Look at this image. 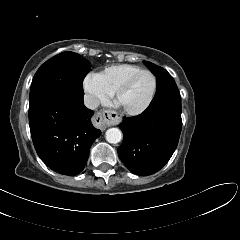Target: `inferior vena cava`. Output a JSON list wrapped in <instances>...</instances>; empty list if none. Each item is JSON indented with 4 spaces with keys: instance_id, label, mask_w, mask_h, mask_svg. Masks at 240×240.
<instances>
[{
    "instance_id": "inferior-vena-cava-1",
    "label": "inferior vena cava",
    "mask_w": 240,
    "mask_h": 240,
    "mask_svg": "<svg viewBox=\"0 0 240 240\" xmlns=\"http://www.w3.org/2000/svg\"><path fill=\"white\" fill-rule=\"evenodd\" d=\"M84 105L88 108V109H96L99 105H100V101L92 95L86 94L84 96Z\"/></svg>"
}]
</instances>
